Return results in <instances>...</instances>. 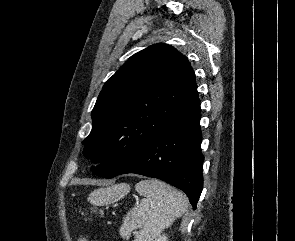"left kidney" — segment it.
Instances as JSON below:
<instances>
[{"mask_svg": "<svg viewBox=\"0 0 295 241\" xmlns=\"http://www.w3.org/2000/svg\"><path fill=\"white\" fill-rule=\"evenodd\" d=\"M155 241H168L167 237L166 236H159L158 239H155Z\"/></svg>", "mask_w": 295, "mask_h": 241, "instance_id": "5707ae66", "label": "left kidney"}]
</instances>
